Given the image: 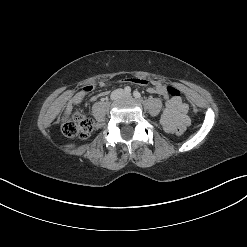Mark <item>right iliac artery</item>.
Wrapping results in <instances>:
<instances>
[{"mask_svg": "<svg viewBox=\"0 0 247 247\" xmlns=\"http://www.w3.org/2000/svg\"><path fill=\"white\" fill-rule=\"evenodd\" d=\"M124 91H125V93H130L131 92V88L129 86H126L124 88Z\"/></svg>", "mask_w": 247, "mask_h": 247, "instance_id": "right-iliac-artery-1", "label": "right iliac artery"}]
</instances>
